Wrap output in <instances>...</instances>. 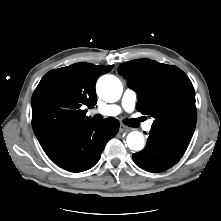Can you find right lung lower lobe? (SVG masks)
<instances>
[{
    "mask_svg": "<svg viewBox=\"0 0 221 221\" xmlns=\"http://www.w3.org/2000/svg\"><path fill=\"white\" fill-rule=\"evenodd\" d=\"M118 129L119 122L115 118L89 121L66 129L42 148L57 166L71 172H82L99 161L106 143Z\"/></svg>",
    "mask_w": 221,
    "mask_h": 221,
    "instance_id": "obj_1",
    "label": "right lung lower lobe"
}]
</instances>
